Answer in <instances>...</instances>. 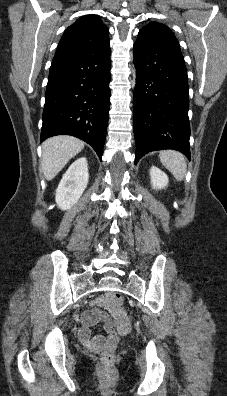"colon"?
Wrapping results in <instances>:
<instances>
[{
	"label": "colon",
	"mask_w": 227,
	"mask_h": 396,
	"mask_svg": "<svg viewBox=\"0 0 227 396\" xmlns=\"http://www.w3.org/2000/svg\"><path fill=\"white\" fill-rule=\"evenodd\" d=\"M114 303L121 306L124 302L122 294L116 293L113 297ZM114 359V349L111 346H106L103 352V362L105 365H110Z\"/></svg>",
	"instance_id": "5ec220e1"
}]
</instances>
